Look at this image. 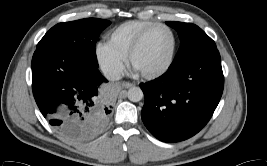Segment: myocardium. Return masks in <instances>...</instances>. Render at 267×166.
Returning a JSON list of instances; mask_svg holds the SVG:
<instances>
[{"mask_svg":"<svg viewBox=\"0 0 267 166\" xmlns=\"http://www.w3.org/2000/svg\"><path fill=\"white\" fill-rule=\"evenodd\" d=\"M166 29L170 32L171 36H172V41H173V45H172V50H171V54L169 57V60L167 61V63L160 68L157 71L154 72H146V73H141L143 78L146 79H155L160 77L161 75L165 74L172 66L174 59H175V55H176V50H177V37L175 32L172 30L171 27H169L166 24H155L154 26L150 27L149 29H147L145 32H143L133 43V45L130 47L128 53H127V62L130 66H132V60L135 56V54L137 53V51L140 49V47L142 46L143 42L145 41V39L147 38V36L152 33L153 31L157 30V29Z\"/></svg>","mask_w":267,"mask_h":166,"instance_id":"1","label":"myocardium"}]
</instances>
